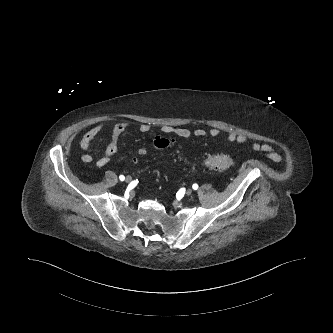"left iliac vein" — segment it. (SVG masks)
I'll return each mask as SVG.
<instances>
[{"label": "left iliac vein", "mask_w": 333, "mask_h": 333, "mask_svg": "<svg viewBox=\"0 0 333 333\" xmlns=\"http://www.w3.org/2000/svg\"><path fill=\"white\" fill-rule=\"evenodd\" d=\"M192 194V190L191 189H187L186 190V195L190 196Z\"/></svg>", "instance_id": "obj_1"}]
</instances>
